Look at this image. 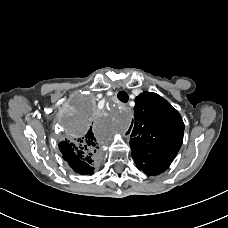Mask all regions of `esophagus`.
I'll list each match as a JSON object with an SVG mask.
<instances>
[{"instance_id": "34e87169", "label": "esophagus", "mask_w": 228, "mask_h": 228, "mask_svg": "<svg viewBox=\"0 0 228 228\" xmlns=\"http://www.w3.org/2000/svg\"><path fill=\"white\" fill-rule=\"evenodd\" d=\"M124 106H125V105H124ZM123 135H124V136H126V135H127V134H126V132H125V133H123Z\"/></svg>"}]
</instances>
